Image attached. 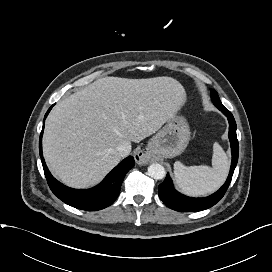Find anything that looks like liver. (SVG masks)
<instances>
[{"mask_svg":"<svg viewBox=\"0 0 272 272\" xmlns=\"http://www.w3.org/2000/svg\"><path fill=\"white\" fill-rule=\"evenodd\" d=\"M185 102L183 86L171 77L98 79L49 114L43 137L48 167L68 186L93 185L120 162V143L152 135Z\"/></svg>","mask_w":272,"mask_h":272,"instance_id":"6515ba94","label":"liver"}]
</instances>
